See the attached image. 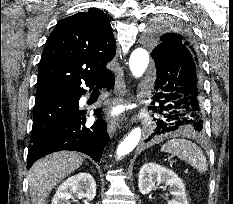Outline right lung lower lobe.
I'll use <instances>...</instances> for the list:
<instances>
[{"label": "right lung lower lobe", "instance_id": "obj_1", "mask_svg": "<svg viewBox=\"0 0 233 204\" xmlns=\"http://www.w3.org/2000/svg\"><path fill=\"white\" fill-rule=\"evenodd\" d=\"M98 83H103L108 89H111L115 83L114 75L110 73ZM78 109L79 105L76 106V110L66 121L51 133L29 145L27 156L28 169L42 156L61 150L82 152L89 155L95 162H100L103 150L109 140L107 125L102 120L99 111H96L95 114L98 116L97 122L89 128L86 127L85 112Z\"/></svg>", "mask_w": 233, "mask_h": 204}]
</instances>
